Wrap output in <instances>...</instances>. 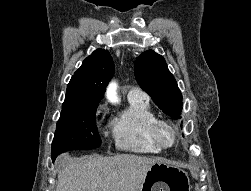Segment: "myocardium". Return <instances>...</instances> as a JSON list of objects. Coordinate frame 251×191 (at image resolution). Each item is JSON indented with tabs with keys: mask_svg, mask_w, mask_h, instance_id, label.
<instances>
[{
	"mask_svg": "<svg viewBox=\"0 0 251 191\" xmlns=\"http://www.w3.org/2000/svg\"><path fill=\"white\" fill-rule=\"evenodd\" d=\"M162 126H167L172 129L177 135V141L174 146L166 148L161 145L159 140V130ZM149 138L153 146L159 153H166L177 148V146L184 140V135L176 124L171 120L155 116L149 125Z\"/></svg>",
	"mask_w": 251,
	"mask_h": 191,
	"instance_id": "myocardium-1",
	"label": "myocardium"
}]
</instances>
